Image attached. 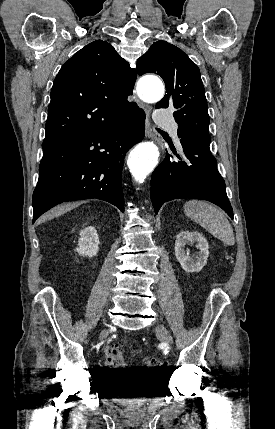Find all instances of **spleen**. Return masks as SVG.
<instances>
[{
  "mask_svg": "<svg viewBox=\"0 0 275 429\" xmlns=\"http://www.w3.org/2000/svg\"><path fill=\"white\" fill-rule=\"evenodd\" d=\"M185 214L214 237L227 245H234L233 228L225 215L212 204L199 200H190L184 205Z\"/></svg>",
  "mask_w": 275,
  "mask_h": 429,
  "instance_id": "obj_1",
  "label": "spleen"
}]
</instances>
